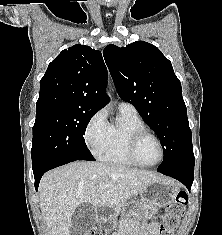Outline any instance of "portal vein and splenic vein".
<instances>
[{"label":"portal vein and splenic vein","instance_id":"portal-vein-and-splenic-vein-1","mask_svg":"<svg viewBox=\"0 0 222 235\" xmlns=\"http://www.w3.org/2000/svg\"><path fill=\"white\" fill-rule=\"evenodd\" d=\"M107 187H108L107 184H102V185L99 186V189H106Z\"/></svg>","mask_w":222,"mask_h":235}]
</instances>
